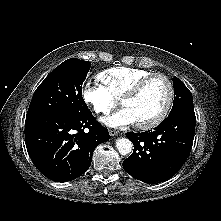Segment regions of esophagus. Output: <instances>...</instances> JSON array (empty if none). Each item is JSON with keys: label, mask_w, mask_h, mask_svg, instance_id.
I'll return each instance as SVG.
<instances>
[{"label": "esophagus", "mask_w": 221, "mask_h": 221, "mask_svg": "<svg viewBox=\"0 0 221 221\" xmlns=\"http://www.w3.org/2000/svg\"><path fill=\"white\" fill-rule=\"evenodd\" d=\"M118 131H116V130H109V134H110V136H116V135H118Z\"/></svg>", "instance_id": "1"}]
</instances>
